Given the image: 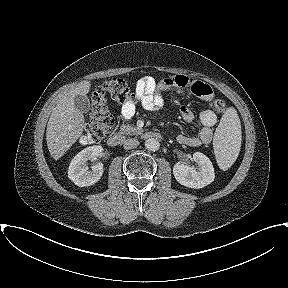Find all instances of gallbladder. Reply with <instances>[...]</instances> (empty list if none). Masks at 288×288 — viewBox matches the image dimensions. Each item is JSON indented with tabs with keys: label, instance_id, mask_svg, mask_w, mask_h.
Segmentation results:
<instances>
[{
	"label": "gallbladder",
	"instance_id": "bac80fb5",
	"mask_svg": "<svg viewBox=\"0 0 288 288\" xmlns=\"http://www.w3.org/2000/svg\"><path fill=\"white\" fill-rule=\"evenodd\" d=\"M74 105L82 113H87L90 109V101L87 96L82 95L75 96Z\"/></svg>",
	"mask_w": 288,
	"mask_h": 288
}]
</instances>
